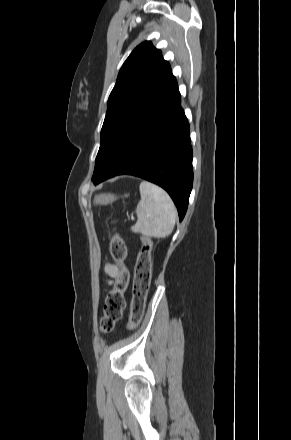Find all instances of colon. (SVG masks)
Masks as SVG:
<instances>
[{
    "label": "colon",
    "instance_id": "5ec220e1",
    "mask_svg": "<svg viewBox=\"0 0 291 440\" xmlns=\"http://www.w3.org/2000/svg\"><path fill=\"white\" fill-rule=\"evenodd\" d=\"M152 250V240L143 238L135 265L133 299L128 323L130 328L135 327L143 316L145 300L151 283ZM110 252L115 263L119 266L120 272L113 289L105 298L103 316L100 319V329L103 332L111 331L114 324L122 316L124 308L123 294L128 280V272L125 267L127 249L124 240L117 233L110 240Z\"/></svg>",
    "mask_w": 291,
    "mask_h": 440
}]
</instances>
